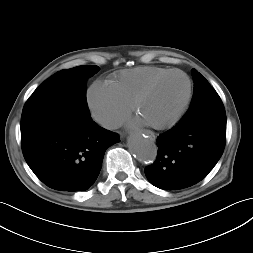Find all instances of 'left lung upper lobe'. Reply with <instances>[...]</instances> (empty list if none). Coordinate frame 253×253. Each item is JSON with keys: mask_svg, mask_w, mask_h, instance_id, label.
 Segmentation results:
<instances>
[{"mask_svg": "<svg viewBox=\"0 0 253 253\" xmlns=\"http://www.w3.org/2000/svg\"><path fill=\"white\" fill-rule=\"evenodd\" d=\"M194 80V95L190 108L181 120H197L212 115H225L223 103L208 83V81L195 69L192 70Z\"/></svg>", "mask_w": 253, "mask_h": 253, "instance_id": "obj_1", "label": "left lung upper lobe"}]
</instances>
